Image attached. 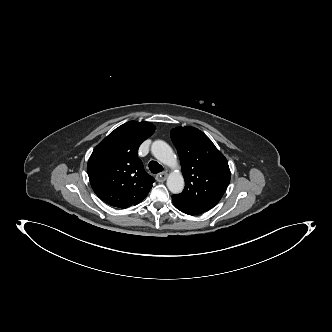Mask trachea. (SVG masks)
I'll use <instances>...</instances> for the list:
<instances>
[{"label":"trachea","instance_id":"3493384b","mask_svg":"<svg viewBox=\"0 0 332 332\" xmlns=\"http://www.w3.org/2000/svg\"><path fill=\"white\" fill-rule=\"evenodd\" d=\"M148 166L153 174L163 171V167L157 161H150Z\"/></svg>","mask_w":332,"mask_h":332}]
</instances>
